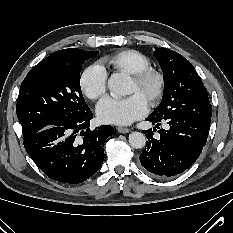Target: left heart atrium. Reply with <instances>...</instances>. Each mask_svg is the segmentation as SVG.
Listing matches in <instances>:
<instances>
[{
  "label": "left heart atrium",
  "mask_w": 233,
  "mask_h": 233,
  "mask_svg": "<svg viewBox=\"0 0 233 233\" xmlns=\"http://www.w3.org/2000/svg\"><path fill=\"white\" fill-rule=\"evenodd\" d=\"M147 101L139 94L128 97H104L97 104L96 113L100 121L109 124L128 125L147 112Z\"/></svg>",
  "instance_id": "1"
}]
</instances>
